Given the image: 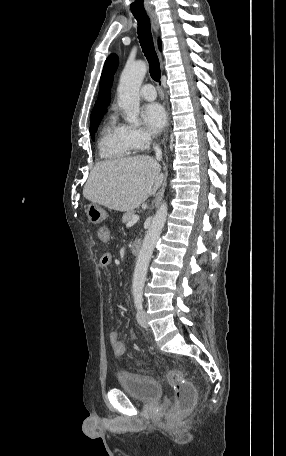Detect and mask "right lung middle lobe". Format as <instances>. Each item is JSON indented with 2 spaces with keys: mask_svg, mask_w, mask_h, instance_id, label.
I'll return each instance as SVG.
<instances>
[{
  "mask_svg": "<svg viewBox=\"0 0 286 456\" xmlns=\"http://www.w3.org/2000/svg\"><path fill=\"white\" fill-rule=\"evenodd\" d=\"M102 117L103 116L90 121V134H91L92 140H94V138H95V131H96Z\"/></svg>",
  "mask_w": 286,
  "mask_h": 456,
  "instance_id": "dd1d6c3e",
  "label": "right lung middle lobe"
}]
</instances>
